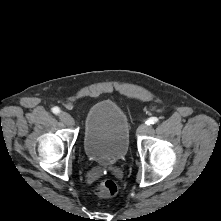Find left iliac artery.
Listing matches in <instances>:
<instances>
[{
	"label": "left iliac artery",
	"mask_w": 221,
	"mask_h": 221,
	"mask_svg": "<svg viewBox=\"0 0 221 221\" xmlns=\"http://www.w3.org/2000/svg\"><path fill=\"white\" fill-rule=\"evenodd\" d=\"M159 121V119L157 117H151L146 121L147 125H151V124H155Z\"/></svg>",
	"instance_id": "1"
}]
</instances>
